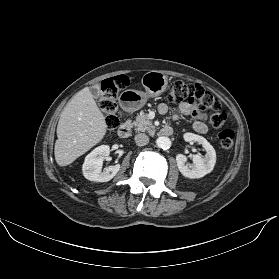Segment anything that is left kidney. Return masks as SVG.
I'll list each match as a JSON object with an SVG mask.
<instances>
[{"label": "left kidney", "instance_id": "5707ae66", "mask_svg": "<svg viewBox=\"0 0 279 279\" xmlns=\"http://www.w3.org/2000/svg\"><path fill=\"white\" fill-rule=\"evenodd\" d=\"M184 140L187 142L195 141L203 146L206 151L204 156L196 154L193 156V164L187 162L183 154L176 156L177 166L181 174L190 179L202 178L210 173L216 163V152L213 146L202 136L194 133H185Z\"/></svg>", "mask_w": 279, "mask_h": 279}]
</instances>
